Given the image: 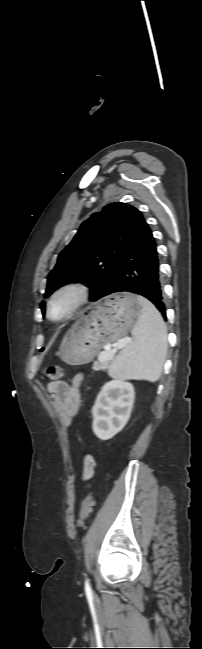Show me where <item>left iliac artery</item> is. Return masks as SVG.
<instances>
[{
    "label": "left iliac artery",
    "instance_id": "1",
    "mask_svg": "<svg viewBox=\"0 0 202 649\" xmlns=\"http://www.w3.org/2000/svg\"><path fill=\"white\" fill-rule=\"evenodd\" d=\"M85 589H86V591H88V592H90V590H91V589H90V585H89V580H88V579L85 581Z\"/></svg>",
    "mask_w": 202,
    "mask_h": 649
}]
</instances>
